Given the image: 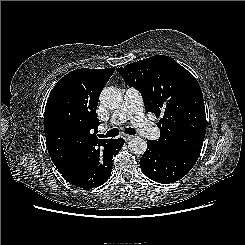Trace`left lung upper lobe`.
<instances>
[{"instance_id":"1","label":"left lung upper lobe","mask_w":245,"mask_h":245,"mask_svg":"<svg viewBox=\"0 0 245 245\" xmlns=\"http://www.w3.org/2000/svg\"><path fill=\"white\" fill-rule=\"evenodd\" d=\"M117 71L141 92L146 111L157 118L162 116L157 124L160 138L153 142L165 152L199 156L206 133V114L195 77L164 55L128 64Z\"/></svg>"}]
</instances>
